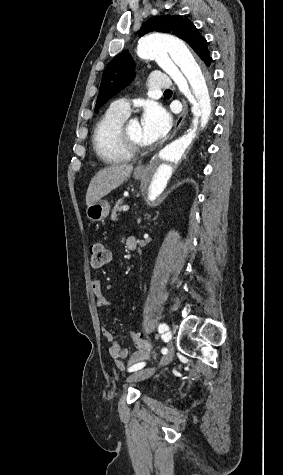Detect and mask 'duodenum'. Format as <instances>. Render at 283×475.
I'll return each mask as SVG.
<instances>
[{
    "label": "duodenum",
    "mask_w": 283,
    "mask_h": 475,
    "mask_svg": "<svg viewBox=\"0 0 283 475\" xmlns=\"http://www.w3.org/2000/svg\"><path fill=\"white\" fill-rule=\"evenodd\" d=\"M126 244H127L128 249L134 250L137 247V240L134 236H129L127 238Z\"/></svg>",
    "instance_id": "duodenum-1"
}]
</instances>
